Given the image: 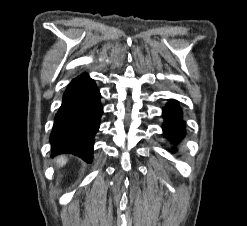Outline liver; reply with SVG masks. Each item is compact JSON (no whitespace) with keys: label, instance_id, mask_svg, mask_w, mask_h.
<instances>
[{"label":"liver","instance_id":"obj_1","mask_svg":"<svg viewBox=\"0 0 247 226\" xmlns=\"http://www.w3.org/2000/svg\"><path fill=\"white\" fill-rule=\"evenodd\" d=\"M67 162V159L65 156H59L57 157V165L63 166Z\"/></svg>","mask_w":247,"mask_h":226}]
</instances>
